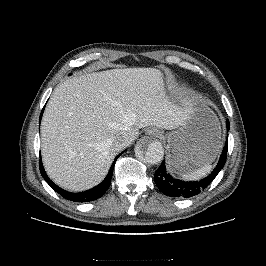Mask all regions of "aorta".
I'll use <instances>...</instances> for the list:
<instances>
[{"label": "aorta", "instance_id": "1", "mask_svg": "<svg viewBox=\"0 0 266 266\" xmlns=\"http://www.w3.org/2000/svg\"><path fill=\"white\" fill-rule=\"evenodd\" d=\"M136 152L150 164L161 162L164 156V148L159 141H151L148 143L141 141L136 147Z\"/></svg>", "mask_w": 266, "mask_h": 266}]
</instances>
